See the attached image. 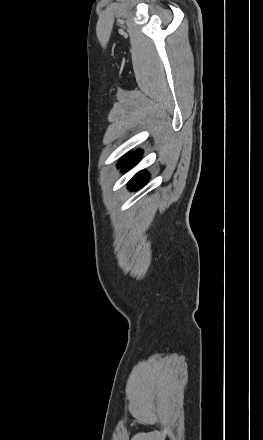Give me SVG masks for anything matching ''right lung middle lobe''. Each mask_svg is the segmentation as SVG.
I'll return each mask as SVG.
<instances>
[{"label": "right lung middle lobe", "instance_id": "dd1d6c3e", "mask_svg": "<svg viewBox=\"0 0 263 440\" xmlns=\"http://www.w3.org/2000/svg\"><path fill=\"white\" fill-rule=\"evenodd\" d=\"M128 157H129V154L127 156H125L124 158H122L121 161L119 162V165H122Z\"/></svg>", "mask_w": 263, "mask_h": 440}]
</instances>
